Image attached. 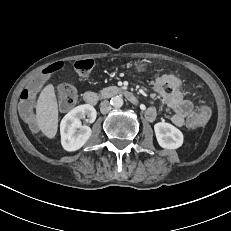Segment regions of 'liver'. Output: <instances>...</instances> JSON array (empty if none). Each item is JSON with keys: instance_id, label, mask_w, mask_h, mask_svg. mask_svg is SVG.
I'll return each mask as SVG.
<instances>
[{"instance_id": "1", "label": "liver", "mask_w": 231, "mask_h": 231, "mask_svg": "<svg viewBox=\"0 0 231 231\" xmlns=\"http://www.w3.org/2000/svg\"><path fill=\"white\" fill-rule=\"evenodd\" d=\"M36 121L46 137H55L58 130V103L52 84L45 86L38 97Z\"/></svg>"}]
</instances>
